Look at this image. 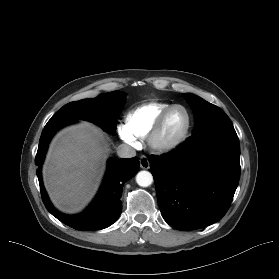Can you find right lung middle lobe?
<instances>
[{"instance_id":"dd1d6c3e","label":"right lung middle lobe","mask_w":279,"mask_h":279,"mask_svg":"<svg viewBox=\"0 0 279 279\" xmlns=\"http://www.w3.org/2000/svg\"><path fill=\"white\" fill-rule=\"evenodd\" d=\"M126 93L114 91L100 94L96 98L83 99L63 106L48 121L45 127L63 125L75 120H88L115 134L118 115L126 100Z\"/></svg>"}]
</instances>
